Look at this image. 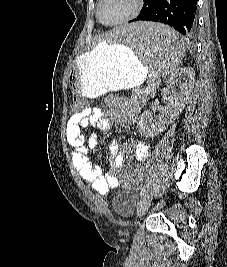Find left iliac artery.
Here are the masks:
<instances>
[{"instance_id": "1", "label": "left iliac artery", "mask_w": 227, "mask_h": 267, "mask_svg": "<svg viewBox=\"0 0 227 267\" xmlns=\"http://www.w3.org/2000/svg\"><path fill=\"white\" fill-rule=\"evenodd\" d=\"M146 192V187L144 186L140 191V197H142Z\"/></svg>"}]
</instances>
